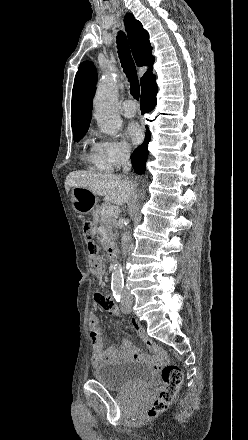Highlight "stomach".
Listing matches in <instances>:
<instances>
[{
    "mask_svg": "<svg viewBox=\"0 0 248 440\" xmlns=\"http://www.w3.org/2000/svg\"><path fill=\"white\" fill-rule=\"evenodd\" d=\"M71 200L76 212L85 213L94 208L97 203V196L85 188L73 187L71 191ZM100 225L104 232H111L113 230V225L109 218H102L100 220ZM101 244L103 246H108L110 244V239L108 237H103L101 239Z\"/></svg>",
    "mask_w": 248,
    "mask_h": 440,
    "instance_id": "obj_1",
    "label": "stomach"
}]
</instances>
